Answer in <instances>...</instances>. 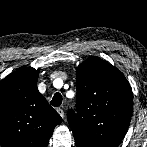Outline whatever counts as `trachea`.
<instances>
[{"label":"trachea","instance_id":"trachea-1","mask_svg":"<svg viewBox=\"0 0 147 147\" xmlns=\"http://www.w3.org/2000/svg\"><path fill=\"white\" fill-rule=\"evenodd\" d=\"M62 103V95L60 93H55L50 104L54 107L60 106Z\"/></svg>","mask_w":147,"mask_h":147}]
</instances>
